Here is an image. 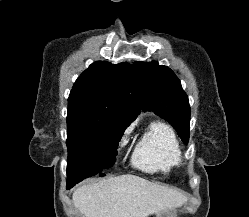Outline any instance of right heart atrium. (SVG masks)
I'll return each mask as SVG.
<instances>
[{"mask_svg": "<svg viewBox=\"0 0 249 217\" xmlns=\"http://www.w3.org/2000/svg\"><path fill=\"white\" fill-rule=\"evenodd\" d=\"M129 133H130V129H127L121 139H120V142H119V150H121L122 148H124L126 146V144L128 143V138H129Z\"/></svg>", "mask_w": 249, "mask_h": 217, "instance_id": "obj_1", "label": "right heart atrium"}]
</instances>
